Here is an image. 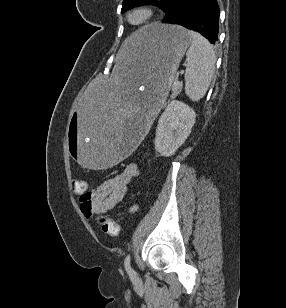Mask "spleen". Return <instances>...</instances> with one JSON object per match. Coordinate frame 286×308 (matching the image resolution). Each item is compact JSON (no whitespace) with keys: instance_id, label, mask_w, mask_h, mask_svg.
<instances>
[{"instance_id":"1","label":"spleen","mask_w":286,"mask_h":308,"mask_svg":"<svg viewBox=\"0 0 286 308\" xmlns=\"http://www.w3.org/2000/svg\"><path fill=\"white\" fill-rule=\"evenodd\" d=\"M188 33L192 42L186 53L185 93L192 101H199L212 80L216 56L206 38L194 31Z\"/></svg>"}]
</instances>
